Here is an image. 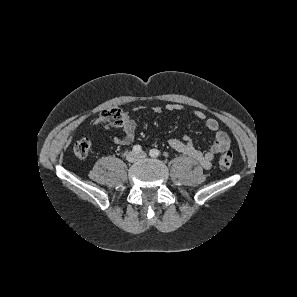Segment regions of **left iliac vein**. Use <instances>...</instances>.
Instances as JSON below:
<instances>
[{
    "instance_id": "1",
    "label": "left iliac vein",
    "mask_w": 297,
    "mask_h": 297,
    "mask_svg": "<svg viewBox=\"0 0 297 297\" xmlns=\"http://www.w3.org/2000/svg\"><path fill=\"white\" fill-rule=\"evenodd\" d=\"M137 156H138V159H143L147 156V154L145 152H141Z\"/></svg>"
}]
</instances>
